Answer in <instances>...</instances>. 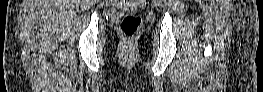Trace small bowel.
<instances>
[{
  "label": "small bowel",
  "mask_w": 263,
  "mask_h": 92,
  "mask_svg": "<svg viewBox=\"0 0 263 92\" xmlns=\"http://www.w3.org/2000/svg\"><path fill=\"white\" fill-rule=\"evenodd\" d=\"M133 3H134V4H140V3H139V2H137V1H133Z\"/></svg>",
  "instance_id": "c3829d8e"
}]
</instances>
